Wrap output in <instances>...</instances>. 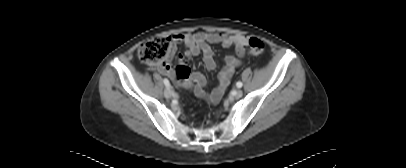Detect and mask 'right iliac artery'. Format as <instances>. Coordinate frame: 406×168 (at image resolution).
Instances as JSON below:
<instances>
[{
  "label": "right iliac artery",
  "instance_id": "1",
  "mask_svg": "<svg viewBox=\"0 0 406 168\" xmlns=\"http://www.w3.org/2000/svg\"><path fill=\"white\" fill-rule=\"evenodd\" d=\"M163 82H164L165 86H166L168 89H170V83H169L168 79L165 78V79L163 80Z\"/></svg>",
  "mask_w": 406,
  "mask_h": 168
}]
</instances>
